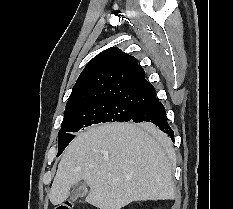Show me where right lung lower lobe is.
<instances>
[{
	"instance_id": "1",
	"label": "right lung lower lobe",
	"mask_w": 233,
	"mask_h": 209,
	"mask_svg": "<svg viewBox=\"0 0 233 209\" xmlns=\"http://www.w3.org/2000/svg\"><path fill=\"white\" fill-rule=\"evenodd\" d=\"M131 121L141 123L150 127H158V130L166 133L172 140L174 139L173 130L166 120V112L163 104L157 98L143 105Z\"/></svg>"
}]
</instances>
